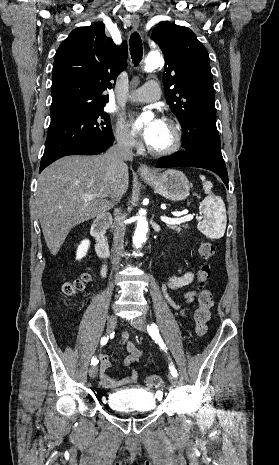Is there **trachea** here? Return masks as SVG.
<instances>
[{
  "mask_svg": "<svg viewBox=\"0 0 279 465\" xmlns=\"http://www.w3.org/2000/svg\"><path fill=\"white\" fill-rule=\"evenodd\" d=\"M130 54L135 65L142 60L143 47L141 37L137 32H134L130 37Z\"/></svg>",
  "mask_w": 279,
  "mask_h": 465,
  "instance_id": "3493384b",
  "label": "trachea"
}]
</instances>
